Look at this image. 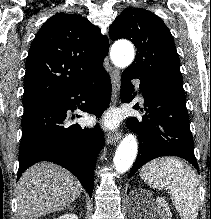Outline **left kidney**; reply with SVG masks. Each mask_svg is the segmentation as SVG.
Here are the masks:
<instances>
[{"instance_id": "1", "label": "left kidney", "mask_w": 211, "mask_h": 219, "mask_svg": "<svg viewBox=\"0 0 211 219\" xmlns=\"http://www.w3.org/2000/svg\"><path fill=\"white\" fill-rule=\"evenodd\" d=\"M144 195H146L149 199H151L152 202V208L148 212L145 213V218L147 219H156L158 217L162 219H172V213L170 211V208L167 204V202L164 200V198H156L152 199L151 195L143 190L141 191ZM145 204V202H144Z\"/></svg>"}]
</instances>
